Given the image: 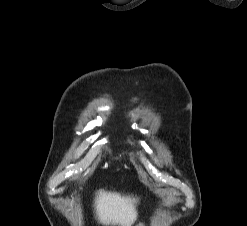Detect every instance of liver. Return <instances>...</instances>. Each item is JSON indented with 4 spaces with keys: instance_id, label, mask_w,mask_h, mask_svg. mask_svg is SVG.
I'll return each instance as SVG.
<instances>
[{
    "instance_id": "1",
    "label": "liver",
    "mask_w": 247,
    "mask_h": 226,
    "mask_svg": "<svg viewBox=\"0 0 247 226\" xmlns=\"http://www.w3.org/2000/svg\"><path fill=\"white\" fill-rule=\"evenodd\" d=\"M136 203L130 196L99 190L94 203L97 219L106 226H131L137 219Z\"/></svg>"
}]
</instances>
